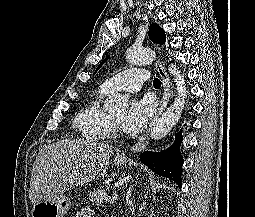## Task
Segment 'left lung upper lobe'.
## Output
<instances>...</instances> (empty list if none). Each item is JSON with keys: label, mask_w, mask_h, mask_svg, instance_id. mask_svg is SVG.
<instances>
[{"label": "left lung upper lobe", "mask_w": 255, "mask_h": 217, "mask_svg": "<svg viewBox=\"0 0 255 217\" xmlns=\"http://www.w3.org/2000/svg\"><path fill=\"white\" fill-rule=\"evenodd\" d=\"M149 38L157 44H164L165 43V32L164 30L159 27L157 24H151L149 28ZM108 59L105 58L100 65L97 67L95 73L98 71V69L103 65V63Z\"/></svg>", "instance_id": "1"}]
</instances>
